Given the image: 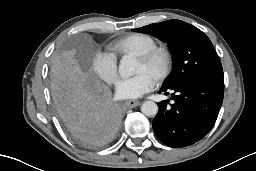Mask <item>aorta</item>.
Listing matches in <instances>:
<instances>
[{"instance_id": "aorta-1", "label": "aorta", "mask_w": 256, "mask_h": 171, "mask_svg": "<svg viewBox=\"0 0 256 171\" xmlns=\"http://www.w3.org/2000/svg\"><path fill=\"white\" fill-rule=\"evenodd\" d=\"M136 67V60L130 56H124L120 60L118 71L122 76H132ZM141 112L148 117L155 116L158 112V105L153 101H145L141 105Z\"/></svg>"}]
</instances>
